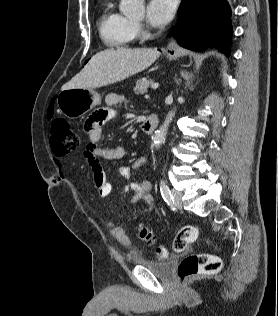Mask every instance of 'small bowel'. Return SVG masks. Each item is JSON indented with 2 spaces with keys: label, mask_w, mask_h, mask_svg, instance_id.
<instances>
[{
  "label": "small bowel",
  "mask_w": 278,
  "mask_h": 316,
  "mask_svg": "<svg viewBox=\"0 0 278 316\" xmlns=\"http://www.w3.org/2000/svg\"><path fill=\"white\" fill-rule=\"evenodd\" d=\"M123 100V96L119 94H108L105 100L107 107L93 112L84 125L88 142L82 151V156L91 168L94 185L99 195L104 198L110 196L112 187L106 178L100 160L122 159L125 156V150L119 146L114 148L104 147L100 142L102 128L108 120L114 117L115 108L118 107ZM146 162L147 158L145 156H141L131 165L119 167L118 173L124 181L128 182L124 193H132V196L126 202V206H132L138 202H143L149 207L150 211H154V198L151 194V183L147 180H143L141 182H130L135 171L142 167ZM110 207H112L111 204ZM108 226L111 234L121 244L128 245L130 243L129 237L119 225L114 222H109Z\"/></svg>",
  "instance_id": "small-bowel-1"
}]
</instances>
